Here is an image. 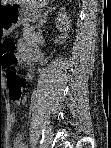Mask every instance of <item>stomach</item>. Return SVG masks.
<instances>
[{
	"mask_svg": "<svg viewBox=\"0 0 111 148\" xmlns=\"http://www.w3.org/2000/svg\"><path fill=\"white\" fill-rule=\"evenodd\" d=\"M35 2L23 1L20 5H3L0 7V38L9 35L21 23L24 8L34 5Z\"/></svg>",
	"mask_w": 111,
	"mask_h": 148,
	"instance_id": "1",
	"label": "stomach"
}]
</instances>
